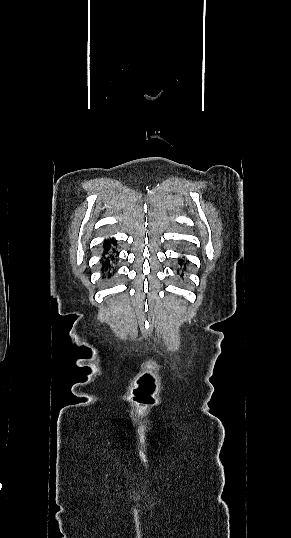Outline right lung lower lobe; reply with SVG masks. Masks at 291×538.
<instances>
[{
	"label": "right lung lower lobe",
	"instance_id": "obj_1",
	"mask_svg": "<svg viewBox=\"0 0 291 538\" xmlns=\"http://www.w3.org/2000/svg\"><path fill=\"white\" fill-rule=\"evenodd\" d=\"M112 244H115L116 242H113V241H108V242H105L103 245L106 247V256L104 255V260L102 261V268H106V269H110L111 267V262L115 260L114 258V253L115 251L113 250H110V245ZM111 275L109 274L108 275V278H110Z\"/></svg>",
	"mask_w": 291,
	"mask_h": 538
}]
</instances>
